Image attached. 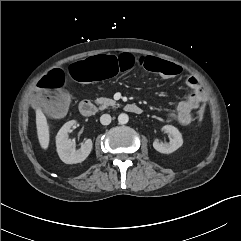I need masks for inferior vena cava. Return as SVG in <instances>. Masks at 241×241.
Here are the masks:
<instances>
[{
  "label": "inferior vena cava",
  "mask_w": 241,
  "mask_h": 241,
  "mask_svg": "<svg viewBox=\"0 0 241 241\" xmlns=\"http://www.w3.org/2000/svg\"><path fill=\"white\" fill-rule=\"evenodd\" d=\"M100 122L102 125H109L111 123V116L109 114H103L100 117Z\"/></svg>",
  "instance_id": "inferior-vena-cava-1"
}]
</instances>
